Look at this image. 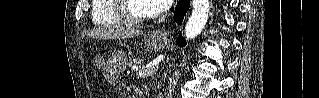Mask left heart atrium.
<instances>
[{
	"label": "left heart atrium",
	"instance_id": "1",
	"mask_svg": "<svg viewBox=\"0 0 319 98\" xmlns=\"http://www.w3.org/2000/svg\"><path fill=\"white\" fill-rule=\"evenodd\" d=\"M145 3L147 10L152 14H161L167 11L171 4L172 0H142Z\"/></svg>",
	"mask_w": 319,
	"mask_h": 98
}]
</instances>
